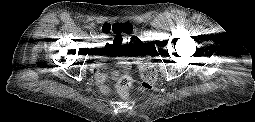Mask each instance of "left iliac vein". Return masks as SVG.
<instances>
[{"mask_svg": "<svg viewBox=\"0 0 255 122\" xmlns=\"http://www.w3.org/2000/svg\"><path fill=\"white\" fill-rule=\"evenodd\" d=\"M144 39H145L146 41L150 40L149 36L146 35V34H145V36H144Z\"/></svg>", "mask_w": 255, "mask_h": 122, "instance_id": "1", "label": "left iliac vein"}]
</instances>
